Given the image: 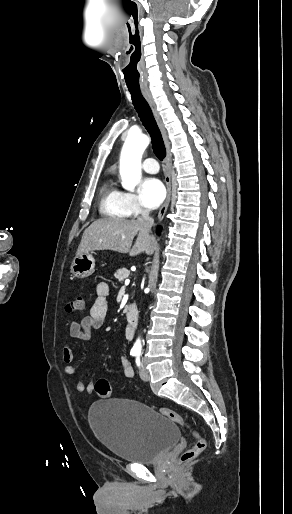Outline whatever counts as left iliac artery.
I'll return each mask as SVG.
<instances>
[{
    "mask_svg": "<svg viewBox=\"0 0 292 514\" xmlns=\"http://www.w3.org/2000/svg\"><path fill=\"white\" fill-rule=\"evenodd\" d=\"M136 364H137V366H140V358H139V355L136 357Z\"/></svg>",
    "mask_w": 292,
    "mask_h": 514,
    "instance_id": "obj_1",
    "label": "left iliac artery"
}]
</instances>
